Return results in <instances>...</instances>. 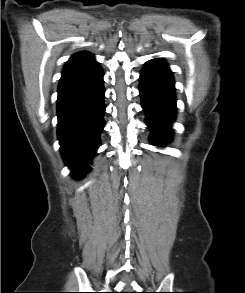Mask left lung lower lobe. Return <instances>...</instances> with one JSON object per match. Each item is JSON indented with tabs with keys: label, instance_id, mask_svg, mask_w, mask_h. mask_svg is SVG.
Returning <instances> with one entry per match:
<instances>
[{
	"label": "left lung lower lobe",
	"instance_id": "0a47b994",
	"mask_svg": "<svg viewBox=\"0 0 245 293\" xmlns=\"http://www.w3.org/2000/svg\"><path fill=\"white\" fill-rule=\"evenodd\" d=\"M139 90L145 123L151 130L150 141L164 147L172 137L177 108L172 72L162 58L147 62L141 71Z\"/></svg>",
	"mask_w": 245,
	"mask_h": 293
}]
</instances>
